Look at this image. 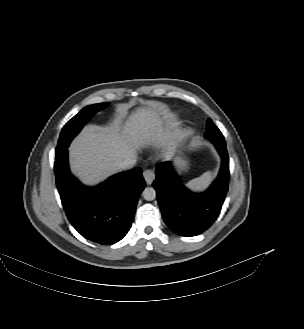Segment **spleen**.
Segmentation results:
<instances>
[{"label":"spleen","mask_w":304,"mask_h":329,"mask_svg":"<svg viewBox=\"0 0 304 329\" xmlns=\"http://www.w3.org/2000/svg\"><path fill=\"white\" fill-rule=\"evenodd\" d=\"M211 179H212L211 172H206L200 177L191 180L187 184V186L194 191H200L205 189L210 184Z\"/></svg>","instance_id":"spleen-1"}]
</instances>
